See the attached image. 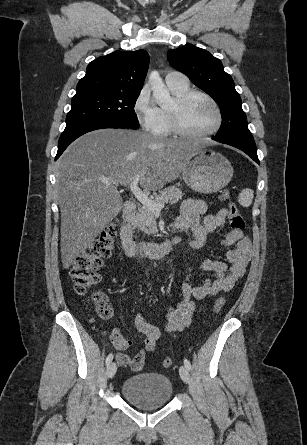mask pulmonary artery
Wrapping results in <instances>:
<instances>
[{"label": "pulmonary artery", "mask_w": 307, "mask_h": 445, "mask_svg": "<svg viewBox=\"0 0 307 445\" xmlns=\"http://www.w3.org/2000/svg\"><path fill=\"white\" fill-rule=\"evenodd\" d=\"M183 77V74L178 69H171L167 73L166 81L168 83H182L187 84V80H181Z\"/></svg>", "instance_id": "1"}]
</instances>
